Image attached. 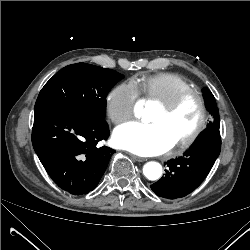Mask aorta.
I'll return each mask as SVG.
<instances>
[{
    "label": "aorta",
    "mask_w": 250,
    "mask_h": 250,
    "mask_svg": "<svg viewBox=\"0 0 250 250\" xmlns=\"http://www.w3.org/2000/svg\"><path fill=\"white\" fill-rule=\"evenodd\" d=\"M143 173L149 180H157L162 175V166L158 162H148L143 167Z\"/></svg>",
    "instance_id": "obj_1"
}]
</instances>
